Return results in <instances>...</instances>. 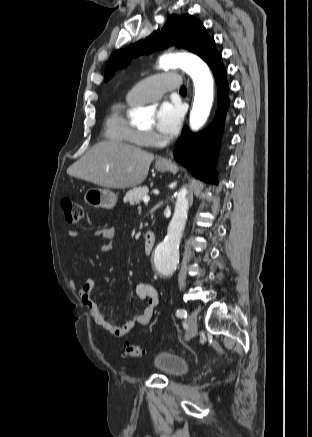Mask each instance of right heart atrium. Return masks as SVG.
<instances>
[{
    "mask_svg": "<svg viewBox=\"0 0 312 437\" xmlns=\"http://www.w3.org/2000/svg\"><path fill=\"white\" fill-rule=\"evenodd\" d=\"M144 137H145L146 142H148V143H152L155 140V134L152 132H145Z\"/></svg>",
    "mask_w": 312,
    "mask_h": 437,
    "instance_id": "1",
    "label": "right heart atrium"
}]
</instances>
